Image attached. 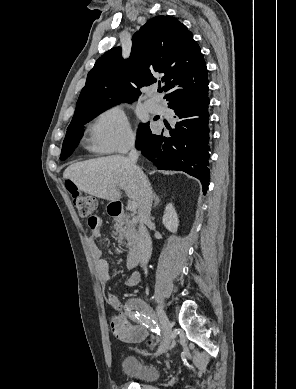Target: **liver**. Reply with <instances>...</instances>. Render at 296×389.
<instances>
[{
  "label": "liver",
  "instance_id": "obj_1",
  "mask_svg": "<svg viewBox=\"0 0 296 389\" xmlns=\"http://www.w3.org/2000/svg\"><path fill=\"white\" fill-rule=\"evenodd\" d=\"M63 178L89 195L110 201L119 200L123 189L139 205L140 182L127 157L112 155L77 162L66 168Z\"/></svg>",
  "mask_w": 296,
  "mask_h": 389
}]
</instances>
